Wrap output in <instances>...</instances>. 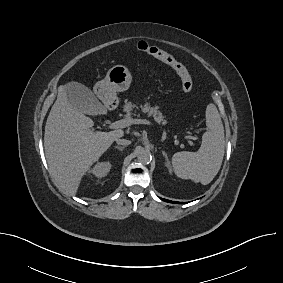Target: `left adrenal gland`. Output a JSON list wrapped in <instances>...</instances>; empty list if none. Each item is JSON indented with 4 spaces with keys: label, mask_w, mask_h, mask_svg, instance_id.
<instances>
[{
    "label": "left adrenal gland",
    "mask_w": 283,
    "mask_h": 283,
    "mask_svg": "<svg viewBox=\"0 0 283 283\" xmlns=\"http://www.w3.org/2000/svg\"><path fill=\"white\" fill-rule=\"evenodd\" d=\"M162 154H163V156L165 157V160H166L165 165L168 167L169 171L171 172L172 169H171V165H170V161L168 159L167 153L165 151H162Z\"/></svg>",
    "instance_id": "obj_1"
}]
</instances>
